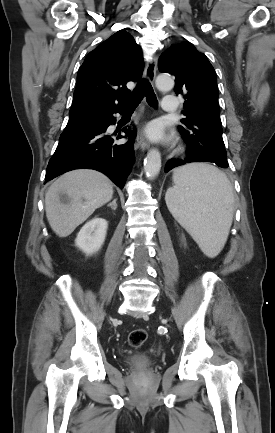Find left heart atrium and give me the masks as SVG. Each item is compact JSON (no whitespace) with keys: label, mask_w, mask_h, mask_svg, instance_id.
<instances>
[{"label":"left heart atrium","mask_w":275,"mask_h":433,"mask_svg":"<svg viewBox=\"0 0 275 433\" xmlns=\"http://www.w3.org/2000/svg\"><path fill=\"white\" fill-rule=\"evenodd\" d=\"M146 134L153 140H160L163 138L162 128L157 123H151L146 129Z\"/></svg>","instance_id":"left-heart-atrium-1"}]
</instances>
